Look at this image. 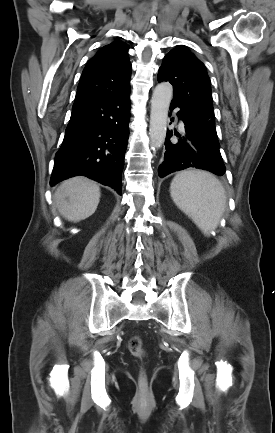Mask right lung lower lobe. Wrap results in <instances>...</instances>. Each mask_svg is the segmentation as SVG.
<instances>
[{
    "label": "right lung lower lobe",
    "instance_id": "1",
    "mask_svg": "<svg viewBox=\"0 0 275 433\" xmlns=\"http://www.w3.org/2000/svg\"><path fill=\"white\" fill-rule=\"evenodd\" d=\"M130 91L73 107L50 180L87 176L117 190L129 137Z\"/></svg>",
    "mask_w": 275,
    "mask_h": 433
}]
</instances>
